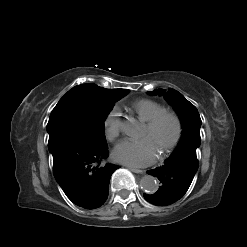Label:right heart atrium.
I'll list each match as a JSON object with an SVG mask.
<instances>
[{"label":"right heart atrium","mask_w":247,"mask_h":247,"mask_svg":"<svg viewBox=\"0 0 247 247\" xmlns=\"http://www.w3.org/2000/svg\"><path fill=\"white\" fill-rule=\"evenodd\" d=\"M121 110L119 106L110 109L103 121V132L109 142H114L121 132Z\"/></svg>","instance_id":"right-heart-atrium-1"}]
</instances>
